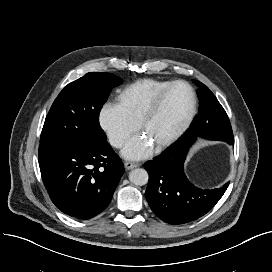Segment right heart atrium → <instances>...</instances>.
Masks as SVG:
<instances>
[{
    "label": "right heart atrium",
    "instance_id": "obj_1",
    "mask_svg": "<svg viewBox=\"0 0 272 272\" xmlns=\"http://www.w3.org/2000/svg\"><path fill=\"white\" fill-rule=\"evenodd\" d=\"M98 124L108 142L115 148L122 147L138 128L118 103L111 102H106L100 107Z\"/></svg>",
    "mask_w": 272,
    "mask_h": 272
}]
</instances>
